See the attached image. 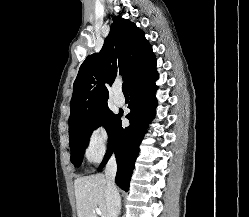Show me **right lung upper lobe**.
Wrapping results in <instances>:
<instances>
[{"mask_svg":"<svg viewBox=\"0 0 249 217\" xmlns=\"http://www.w3.org/2000/svg\"><path fill=\"white\" fill-rule=\"evenodd\" d=\"M154 56L144 32L128 19L113 17L109 35L99 54L89 55L73 84L70 119L107 103L108 89L116 75L128 86Z\"/></svg>","mask_w":249,"mask_h":217,"instance_id":"1","label":"right lung upper lobe"}]
</instances>
